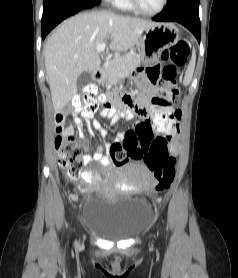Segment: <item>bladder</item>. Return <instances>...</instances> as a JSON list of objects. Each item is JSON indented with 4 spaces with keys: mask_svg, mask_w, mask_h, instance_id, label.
I'll return each instance as SVG.
<instances>
[{
    "mask_svg": "<svg viewBox=\"0 0 238 278\" xmlns=\"http://www.w3.org/2000/svg\"><path fill=\"white\" fill-rule=\"evenodd\" d=\"M152 215L151 204L145 198L127 195L91 197V202H84L81 224L102 238L125 240L144 232Z\"/></svg>",
    "mask_w": 238,
    "mask_h": 278,
    "instance_id": "bladder-1",
    "label": "bladder"
}]
</instances>
